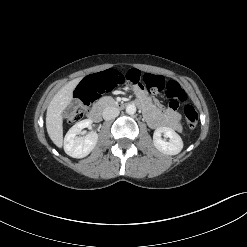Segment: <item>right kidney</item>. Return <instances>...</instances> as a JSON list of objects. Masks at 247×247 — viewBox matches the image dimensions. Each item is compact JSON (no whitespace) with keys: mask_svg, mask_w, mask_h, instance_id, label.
Masks as SVG:
<instances>
[{"mask_svg":"<svg viewBox=\"0 0 247 247\" xmlns=\"http://www.w3.org/2000/svg\"><path fill=\"white\" fill-rule=\"evenodd\" d=\"M92 120L85 119L73 125L64 138V150L67 155L73 158L86 157L96 146L98 141V134L91 132L84 137L77 135L82 129L91 127Z\"/></svg>","mask_w":247,"mask_h":247,"instance_id":"ca27d5eb","label":"right kidney"}]
</instances>
